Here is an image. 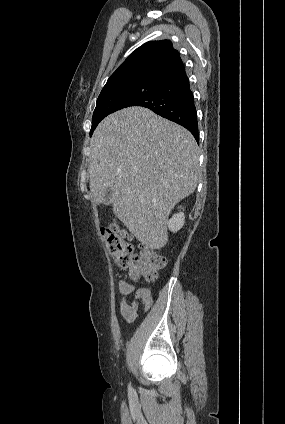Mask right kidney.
Returning a JSON list of instances; mask_svg holds the SVG:
<instances>
[{"label": "right kidney", "instance_id": "1", "mask_svg": "<svg viewBox=\"0 0 285 424\" xmlns=\"http://www.w3.org/2000/svg\"><path fill=\"white\" fill-rule=\"evenodd\" d=\"M185 216L183 212L176 213L168 221V227L172 232H177L183 227Z\"/></svg>", "mask_w": 285, "mask_h": 424}]
</instances>
